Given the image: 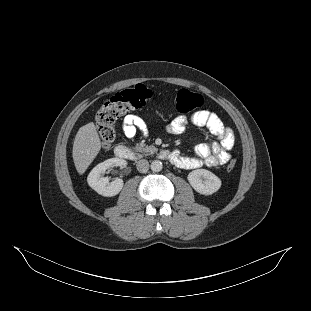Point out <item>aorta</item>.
I'll return each mask as SVG.
<instances>
[{
    "label": "aorta",
    "instance_id": "obj_1",
    "mask_svg": "<svg viewBox=\"0 0 311 311\" xmlns=\"http://www.w3.org/2000/svg\"><path fill=\"white\" fill-rule=\"evenodd\" d=\"M163 168V164L160 160H154L151 162V170L154 172H159Z\"/></svg>",
    "mask_w": 311,
    "mask_h": 311
}]
</instances>
